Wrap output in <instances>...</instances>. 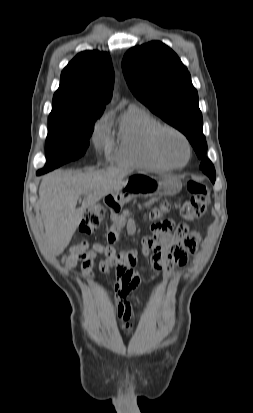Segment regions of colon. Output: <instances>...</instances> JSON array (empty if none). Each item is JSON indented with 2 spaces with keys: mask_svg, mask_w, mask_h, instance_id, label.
Here are the masks:
<instances>
[{
  "mask_svg": "<svg viewBox=\"0 0 253 413\" xmlns=\"http://www.w3.org/2000/svg\"><path fill=\"white\" fill-rule=\"evenodd\" d=\"M190 198L178 205L180 215L189 221L200 219L204 216L210 203V191L206 184L199 181L188 183ZM171 209V205L165 204L161 209L156 210L152 216L158 217L161 211ZM105 215V211L100 206H94L86 210L81 220L79 229L84 233L93 232Z\"/></svg>",
  "mask_w": 253,
  "mask_h": 413,
  "instance_id": "5ec220e1",
  "label": "colon"
}]
</instances>
